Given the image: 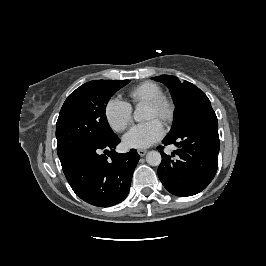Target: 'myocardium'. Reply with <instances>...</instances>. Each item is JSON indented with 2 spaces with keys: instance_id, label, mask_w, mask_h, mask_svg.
Here are the masks:
<instances>
[{
  "instance_id": "myocardium-1",
  "label": "myocardium",
  "mask_w": 266,
  "mask_h": 266,
  "mask_svg": "<svg viewBox=\"0 0 266 266\" xmlns=\"http://www.w3.org/2000/svg\"><path fill=\"white\" fill-rule=\"evenodd\" d=\"M147 105L159 110V118L164 123H169L172 121L175 114V105L169 97L162 95L147 102Z\"/></svg>"
}]
</instances>
